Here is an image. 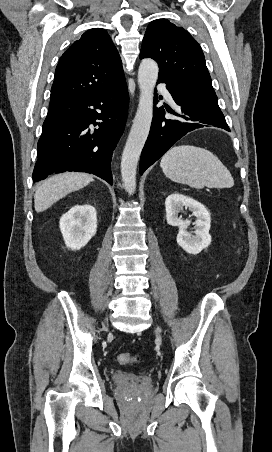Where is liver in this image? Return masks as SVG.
Masks as SVG:
<instances>
[{"instance_id":"1","label":"liver","mask_w":272,"mask_h":452,"mask_svg":"<svg viewBox=\"0 0 272 452\" xmlns=\"http://www.w3.org/2000/svg\"><path fill=\"white\" fill-rule=\"evenodd\" d=\"M92 181L91 175L78 172H65L48 178L37 187L35 192V211H45L58 200L87 186Z\"/></svg>"}]
</instances>
